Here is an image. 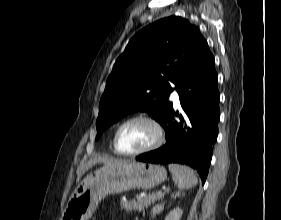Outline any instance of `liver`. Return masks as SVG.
Masks as SVG:
<instances>
[{
	"mask_svg": "<svg viewBox=\"0 0 281 220\" xmlns=\"http://www.w3.org/2000/svg\"><path fill=\"white\" fill-rule=\"evenodd\" d=\"M97 163H103L104 167L110 168V167H116V166H121V165H126L128 164V161L122 160V159H114V158H109V157H103L100 155H96L92 157L87 164L81 169L80 173L78 174L77 182L80 181L81 176L88 170L90 169L93 165Z\"/></svg>",
	"mask_w": 281,
	"mask_h": 220,
	"instance_id": "1",
	"label": "liver"
}]
</instances>
